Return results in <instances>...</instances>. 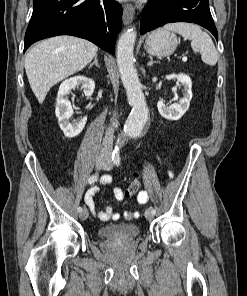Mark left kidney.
Here are the masks:
<instances>
[{
    "instance_id": "1",
    "label": "left kidney",
    "mask_w": 247,
    "mask_h": 296,
    "mask_svg": "<svg viewBox=\"0 0 247 296\" xmlns=\"http://www.w3.org/2000/svg\"><path fill=\"white\" fill-rule=\"evenodd\" d=\"M177 79L183 85V98L180 99L178 104L166 106L163 101H158L157 108L162 117L168 120H179L184 113L188 110L190 101L192 99V81L189 76L185 74H171L166 76V79Z\"/></svg>"
}]
</instances>
